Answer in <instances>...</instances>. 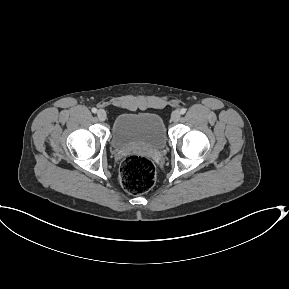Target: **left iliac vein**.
<instances>
[{"instance_id":"left-iliac-vein-1","label":"left iliac vein","mask_w":289,"mask_h":289,"mask_svg":"<svg viewBox=\"0 0 289 289\" xmlns=\"http://www.w3.org/2000/svg\"><path fill=\"white\" fill-rule=\"evenodd\" d=\"M180 117H181L180 111L176 110L172 113L171 120L176 123L180 120Z\"/></svg>"}]
</instances>
